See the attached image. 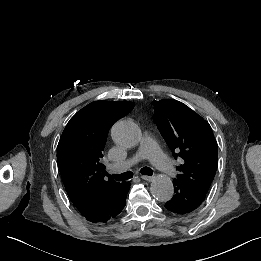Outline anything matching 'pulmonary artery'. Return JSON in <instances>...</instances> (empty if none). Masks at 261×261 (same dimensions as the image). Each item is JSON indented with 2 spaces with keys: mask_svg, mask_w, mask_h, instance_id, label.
<instances>
[{
  "mask_svg": "<svg viewBox=\"0 0 261 261\" xmlns=\"http://www.w3.org/2000/svg\"><path fill=\"white\" fill-rule=\"evenodd\" d=\"M145 133L144 142L139 146L137 153L120 163H116L110 167L112 173H120L128 170L132 165L142 159L150 160L158 170L165 171L170 166L169 159L160 149L155 139L148 133Z\"/></svg>",
  "mask_w": 261,
  "mask_h": 261,
  "instance_id": "obj_1",
  "label": "pulmonary artery"
}]
</instances>
